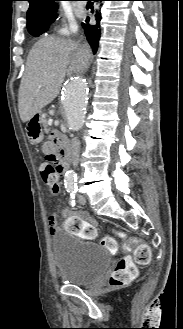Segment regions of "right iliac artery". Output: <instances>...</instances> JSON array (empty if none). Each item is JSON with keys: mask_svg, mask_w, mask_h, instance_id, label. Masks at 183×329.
I'll use <instances>...</instances> for the list:
<instances>
[{"mask_svg": "<svg viewBox=\"0 0 183 329\" xmlns=\"http://www.w3.org/2000/svg\"><path fill=\"white\" fill-rule=\"evenodd\" d=\"M68 192L70 193V202L69 203L72 207H74L75 204H76V202H75V190H69Z\"/></svg>", "mask_w": 183, "mask_h": 329, "instance_id": "right-iliac-artery-1", "label": "right iliac artery"}]
</instances>
